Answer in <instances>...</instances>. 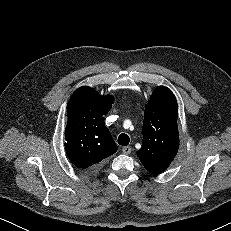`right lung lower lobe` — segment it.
<instances>
[{"label": "right lung lower lobe", "mask_w": 231, "mask_h": 231, "mask_svg": "<svg viewBox=\"0 0 231 231\" xmlns=\"http://www.w3.org/2000/svg\"><path fill=\"white\" fill-rule=\"evenodd\" d=\"M98 169V167H95V168H91V169H89V170H85L86 172H94L95 170H97Z\"/></svg>", "instance_id": "obj_1"}]
</instances>
